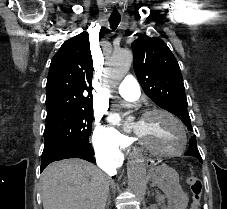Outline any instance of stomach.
Listing matches in <instances>:
<instances>
[{
	"label": "stomach",
	"mask_w": 227,
	"mask_h": 209,
	"mask_svg": "<svg viewBox=\"0 0 227 209\" xmlns=\"http://www.w3.org/2000/svg\"><path fill=\"white\" fill-rule=\"evenodd\" d=\"M153 180L155 185L165 193L169 209H186L189 199L179 184V175L176 170L165 164L160 165L153 173Z\"/></svg>",
	"instance_id": "1"
}]
</instances>
